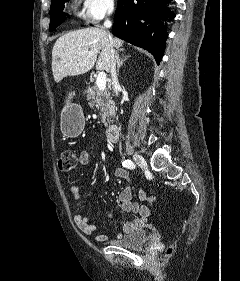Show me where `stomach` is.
<instances>
[{
  "instance_id": "stomach-1",
  "label": "stomach",
  "mask_w": 240,
  "mask_h": 281,
  "mask_svg": "<svg viewBox=\"0 0 240 281\" xmlns=\"http://www.w3.org/2000/svg\"><path fill=\"white\" fill-rule=\"evenodd\" d=\"M72 94L62 109L60 115V127L62 133L67 137H77L84 128L85 120L81 107L71 102Z\"/></svg>"
}]
</instances>
